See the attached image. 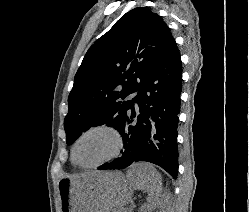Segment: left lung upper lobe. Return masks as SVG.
Wrapping results in <instances>:
<instances>
[{"label": "left lung upper lobe", "mask_w": 249, "mask_h": 212, "mask_svg": "<svg viewBox=\"0 0 249 212\" xmlns=\"http://www.w3.org/2000/svg\"><path fill=\"white\" fill-rule=\"evenodd\" d=\"M167 25L148 8L124 14L87 51L68 97L67 144L92 126L119 130L145 77L173 41ZM122 86V89L120 88Z\"/></svg>", "instance_id": "1"}]
</instances>
